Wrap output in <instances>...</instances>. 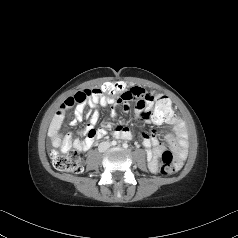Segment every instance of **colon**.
I'll return each instance as SVG.
<instances>
[{"label":"colon","mask_w":238,"mask_h":238,"mask_svg":"<svg viewBox=\"0 0 238 238\" xmlns=\"http://www.w3.org/2000/svg\"><path fill=\"white\" fill-rule=\"evenodd\" d=\"M104 84L100 88L77 92L66 100L65 105L70 107L76 102H83L93 94H106V103H119L123 93L126 91L124 80H105ZM147 114L160 122H167L175 115L170 101L163 96L156 97L153 109L149 110ZM51 160L54 167L59 171L78 174L83 170V157L77 151H71L66 154H59L53 151L51 153ZM177 167L178 162L172 152L165 151L161 156L160 173L164 175L171 174Z\"/></svg>","instance_id":"colon-1"}]
</instances>
